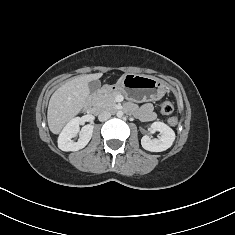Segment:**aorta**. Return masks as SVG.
Masks as SVG:
<instances>
[{"label": "aorta", "instance_id": "obj_1", "mask_svg": "<svg viewBox=\"0 0 235 235\" xmlns=\"http://www.w3.org/2000/svg\"><path fill=\"white\" fill-rule=\"evenodd\" d=\"M122 116H123V112H122V111H118V112H117V117L120 118V117H122Z\"/></svg>", "mask_w": 235, "mask_h": 235}]
</instances>
